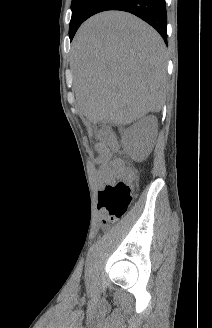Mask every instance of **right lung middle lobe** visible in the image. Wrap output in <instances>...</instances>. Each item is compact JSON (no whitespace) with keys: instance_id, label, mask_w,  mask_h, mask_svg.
<instances>
[{"instance_id":"obj_1","label":"right lung middle lobe","mask_w":212,"mask_h":328,"mask_svg":"<svg viewBox=\"0 0 212 328\" xmlns=\"http://www.w3.org/2000/svg\"><path fill=\"white\" fill-rule=\"evenodd\" d=\"M95 0H72V18L70 21L69 36L72 40L79 26L86 20V16Z\"/></svg>"}]
</instances>
